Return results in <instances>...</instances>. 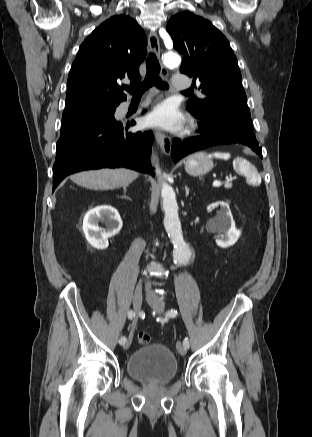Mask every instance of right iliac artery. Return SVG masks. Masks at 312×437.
I'll return each instance as SVG.
<instances>
[{"label":"right iliac artery","mask_w":312,"mask_h":437,"mask_svg":"<svg viewBox=\"0 0 312 437\" xmlns=\"http://www.w3.org/2000/svg\"><path fill=\"white\" fill-rule=\"evenodd\" d=\"M134 317H135V313H134V311L130 310V311L128 312V318H129V319H133ZM126 340H127L126 337L123 336V337L120 338L119 343H120V344H124V343L126 342Z\"/></svg>","instance_id":"1"}]
</instances>
